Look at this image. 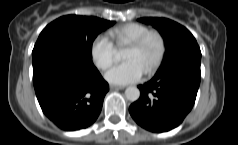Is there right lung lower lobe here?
<instances>
[{
    "instance_id": "1",
    "label": "right lung lower lobe",
    "mask_w": 238,
    "mask_h": 145,
    "mask_svg": "<svg viewBox=\"0 0 238 145\" xmlns=\"http://www.w3.org/2000/svg\"><path fill=\"white\" fill-rule=\"evenodd\" d=\"M33 84L43 113L64 131L94 123L109 90L92 61L61 50L33 56Z\"/></svg>"
}]
</instances>
